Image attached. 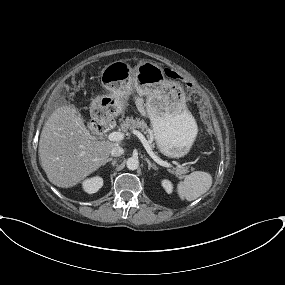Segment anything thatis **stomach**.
<instances>
[{
  "instance_id": "0dacf381",
  "label": "stomach",
  "mask_w": 285,
  "mask_h": 285,
  "mask_svg": "<svg viewBox=\"0 0 285 285\" xmlns=\"http://www.w3.org/2000/svg\"><path fill=\"white\" fill-rule=\"evenodd\" d=\"M101 83L109 93L93 101L92 120L105 124L122 114L126 97L135 90L146 96L145 107L159 151L170 158L189 152L197 134L196 122L186 107L183 88L166 79L159 64L142 61L131 68L124 61H115L101 71Z\"/></svg>"
}]
</instances>
